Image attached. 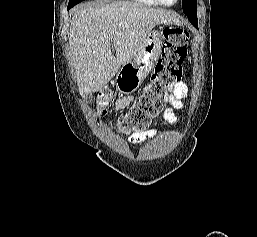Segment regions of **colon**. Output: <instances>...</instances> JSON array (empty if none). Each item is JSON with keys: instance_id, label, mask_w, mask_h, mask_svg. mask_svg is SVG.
Here are the masks:
<instances>
[{"instance_id": "colon-1", "label": "colon", "mask_w": 257, "mask_h": 237, "mask_svg": "<svg viewBox=\"0 0 257 237\" xmlns=\"http://www.w3.org/2000/svg\"><path fill=\"white\" fill-rule=\"evenodd\" d=\"M188 40L187 31L173 26L164 28L161 57L139 101L118 119L116 126L121 132L146 129L150 120L162 111L168 92L182 74ZM113 99L114 93L111 89L104 88L99 92L96 109L100 117L106 115L107 107Z\"/></svg>"}]
</instances>
